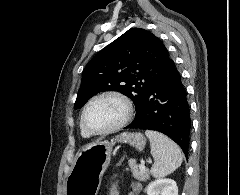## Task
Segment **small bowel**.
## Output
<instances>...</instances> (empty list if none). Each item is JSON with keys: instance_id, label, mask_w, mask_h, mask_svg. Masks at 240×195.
<instances>
[{"instance_id": "small-bowel-1", "label": "small bowel", "mask_w": 240, "mask_h": 195, "mask_svg": "<svg viewBox=\"0 0 240 195\" xmlns=\"http://www.w3.org/2000/svg\"><path fill=\"white\" fill-rule=\"evenodd\" d=\"M142 191V186L138 182H134L131 185V189L128 192V195H140V192Z\"/></svg>"}]
</instances>
